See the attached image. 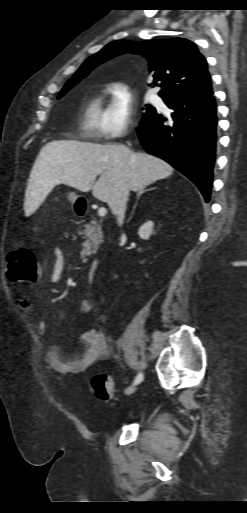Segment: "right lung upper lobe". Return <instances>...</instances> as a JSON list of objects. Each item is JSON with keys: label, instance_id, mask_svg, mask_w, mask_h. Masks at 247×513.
Wrapping results in <instances>:
<instances>
[{"label": "right lung upper lobe", "instance_id": "1", "mask_svg": "<svg viewBox=\"0 0 247 513\" xmlns=\"http://www.w3.org/2000/svg\"><path fill=\"white\" fill-rule=\"evenodd\" d=\"M124 52L138 53L149 60L155 86L163 100L208 97L213 94L207 61L197 46L183 38L168 40H116L89 57L73 78H84L95 66Z\"/></svg>", "mask_w": 247, "mask_h": 513}]
</instances>
